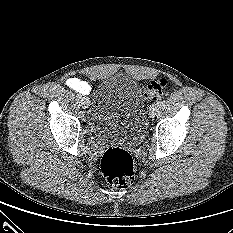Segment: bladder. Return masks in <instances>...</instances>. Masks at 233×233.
I'll use <instances>...</instances> for the list:
<instances>
[{"mask_svg":"<svg viewBox=\"0 0 233 233\" xmlns=\"http://www.w3.org/2000/svg\"><path fill=\"white\" fill-rule=\"evenodd\" d=\"M88 127L98 144L139 143L146 132L145 100L140 85L124 74L103 80L94 96Z\"/></svg>","mask_w":233,"mask_h":233,"instance_id":"1","label":"bladder"}]
</instances>
